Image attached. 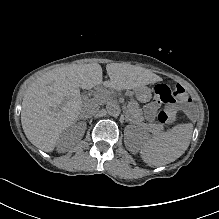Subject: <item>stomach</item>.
I'll return each instance as SVG.
<instances>
[{
    "label": "stomach",
    "instance_id": "1",
    "mask_svg": "<svg viewBox=\"0 0 219 219\" xmlns=\"http://www.w3.org/2000/svg\"><path fill=\"white\" fill-rule=\"evenodd\" d=\"M136 96L143 101H147L150 98V91L146 87H140L136 90Z\"/></svg>",
    "mask_w": 219,
    "mask_h": 219
}]
</instances>
